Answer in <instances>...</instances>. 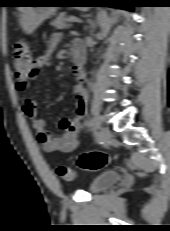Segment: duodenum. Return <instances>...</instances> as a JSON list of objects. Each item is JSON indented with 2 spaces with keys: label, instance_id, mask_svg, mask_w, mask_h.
<instances>
[{
  "label": "duodenum",
  "instance_id": "duodenum-1",
  "mask_svg": "<svg viewBox=\"0 0 170 231\" xmlns=\"http://www.w3.org/2000/svg\"><path fill=\"white\" fill-rule=\"evenodd\" d=\"M71 58L74 64L80 69V72H84V53L81 50H74L71 54Z\"/></svg>",
  "mask_w": 170,
  "mask_h": 231
}]
</instances>
